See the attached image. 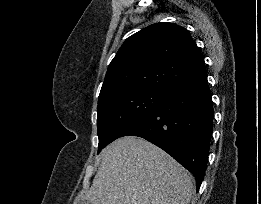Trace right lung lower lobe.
<instances>
[{"label":"right lung lower lobe","instance_id":"98d812e1","mask_svg":"<svg viewBox=\"0 0 261 204\" xmlns=\"http://www.w3.org/2000/svg\"><path fill=\"white\" fill-rule=\"evenodd\" d=\"M212 95L205 65L170 87L161 101L120 136L142 137L190 171L199 189L213 129Z\"/></svg>","mask_w":261,"mask_h":204}]
</instances>
